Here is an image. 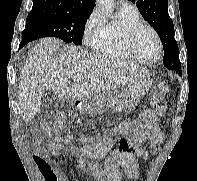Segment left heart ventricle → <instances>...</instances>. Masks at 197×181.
<instances>
[{
	"instance_id": "1",
	"label": "left heart ventricle",
	"mask_w": 197,
	"mask_h": 181,
	"mask_svg": "<svg viewBox=\"0 0 197 181\" xmlns=\"http://www.w3.org/2000/svg\"><path fill=\"white\" fill-rule=\"evenodd\" d=\"M139 55L146 60H154L158 55V44L153 34L144 30L136 42Z\"/></svg>"
}]
</instances>
